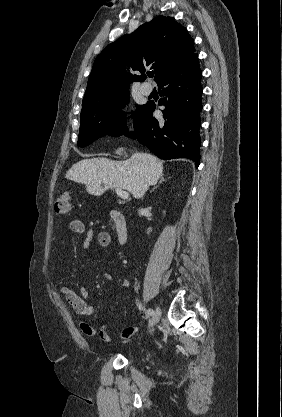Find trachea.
Here are the masks:
<instances>
[{
	"mask_svg": "<svg viewBox=\"0 0 282 417\" xmlns=\"http://www.w3.org/2000/svg\"><path fill=\"white\" fill-rule=\"evenodd\" d=\"M149 76H150V77H153V76H154V74H153V73H152V74H149Z\"/></svg>",
	"mask_w": 282,
	"mask_h": 417,
	"instance_id": "obj_1",
	"label": "trachea"
}]
</instances>
